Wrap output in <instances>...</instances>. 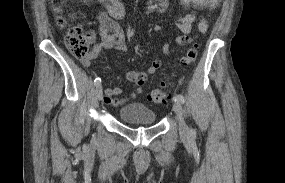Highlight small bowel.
<instances>
[{
  "label": "small bowel",
  "mask_w": 285,
  "mask_h": 183,
  "mask_svg": "<svg viewBox=\"0 0 285 183\" xmlns=\"http://www.w3.org/2000/svg\"><path fill=\"white\" fill-rule=\"evenodd\" d=\"M105 8V11L98 14L99 30L101 41L93 46L89 55L83 59L82 63L85 67H89L91 62L99 57L104 49H114L118 51H127L128 45L125 34L117 20L122 19L125 14L124 6L120 0H98ZM183 5L192 11L186 12L177 17L176 27L178 33L175 35V42L180 46H185L195 40V36L191 35L192 27L196 21L195 11L207 9L209 12L203 16L198 22V30L202 33L209 28V22L213 11L219 5L220 0H181ZM168 0H148L145 14L164 13L168 8ZM156 32H161V26H155ZM165 55L172 54L174 50L169 42L162 47ZM162 66L160 59H153L151 64L145 71L132 70L127 73V79L137 86L136 94L142 92L149 75L155 74ZM122 94L120 87H108L105 89L104 101L106 104L118 106L129 101V98H118Z\"/></svg>",
  "instance_id": "c3829d8e"
}]
</instances>
